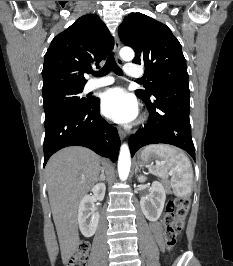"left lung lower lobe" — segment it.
Wrapping results in <instances>:
<instances>
[{"label": "left lung lower lobe", "mask_w": 233, "mask_h": 266, "mask_svg": "<svg viewBox=\"0 0 233 266\" xmlns=\"http://www.w3.org/2000/svg\"><path fill=\"white\" fill-rule=\"evenodd\" d=\"M189 86L165 88L152 98H144L149 111L148 123L129 139L131 156L143 146L165 143L187 151L195 160L189 120Z\"/></svg>", "instance_id": "left-lung-lower-lobe-1"}]
</instances>
